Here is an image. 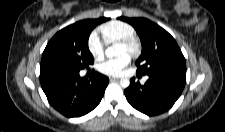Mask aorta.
I'll return each mask as SVG.
<instances>
[{
    "mask_svg": "<svg viewBox=\"0 0 225 132\" xmlns=\"http://www.w3.org/2000/svg\"><path fill=\"white\" fill-rule=\"evenodd\" d=\"M122 53L120 45H112L108 47L105 51L107 57L112 58L119 56ZM130 85V81L127 78H123L120 80V86L122 88H127Z\"/></svg>",
    "mask_w": 225,
    "mask_h": 132,
    "instance_id": "aorta-1",
    "label": "aorta"
}]
</instances>
